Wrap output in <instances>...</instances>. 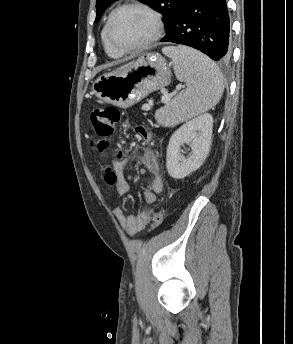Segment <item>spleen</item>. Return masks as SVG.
Returning <instances> with one entry per match:
<instances>
[{"mask_svg": "<svg viewBox=\"0 0 293 344\" xmlns=\"http://www.w3.org/2000/svg\"><path fill=\"white\" fill-rule=\"evenodd\" d=\"M162 52L173 60L178 80L187 88L155 113L156 121L174 127L214 107L222 97L224 78L217 65L203 53L190 47H164Z\"/></svg>", "mask_w": 293, "mask_h": 344, "instance_id": "3e777b00", "label": "spleen"}]
</instances>
